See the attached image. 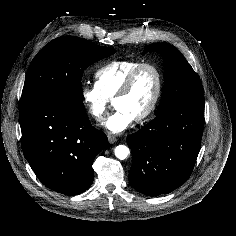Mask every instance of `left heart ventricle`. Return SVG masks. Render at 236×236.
Returning a JSON list of instances; mask_svg holds the SVG:
<instances>
[{
	"label": "left heart ventricle",
	"mask_w": 236,
	"mask_h": 236,
	"mask_svg": "<svg viewBox=\"0 0 236 236\" xmlns=\"http://www.w3.org/2000/svg\"><path fill=\"white\" fill-rule=\"evenodd\" d=\"M157 88V79L150 68L143 69L136 77L128 94L114 102L115 108L127 111L133 118L142 114L151 104Z\"/></svg>",
	"instance_id": "obj_1"
}]
</instances>
